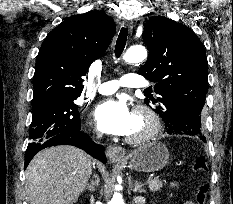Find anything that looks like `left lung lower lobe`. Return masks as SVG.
<instances>
[{"mask_svg": "<svg viewBox=\"0 0 233 204\" xmlns=\"http://www.w3.org/2000/svg\"><path fill=\"white\" fill-rule=\"evenodd\" d=\"M201 102L194 99H177L166 109L167 117L164 119L168 134H176L180 129L193 128L199 131L201 127ZM202 141L206 142L204 135L197 133Z\"/></svg>", "mask_w": 233, "mask_h": 204, "instance_id": "obj_1", "label": "left lung lower lobe"}]
</instances>
